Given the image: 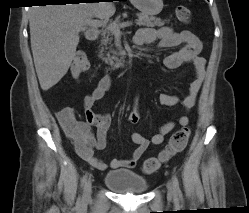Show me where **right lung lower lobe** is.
I'll list each match as a JSON object with an SVG mask.
<instances>
[{
  "label": "right lung lower lobe",
  "mask_w": 249,
  "mask_h": 213,
  "mask_svg": "<svg viewBox=\"0 0 249 213\" xmlns=\"http://www.w3.org/2000/svg\"><path fill=\"white\" fill-rule=\"evenodd\" d=\"M46 2L49 3H55V4H66V3H78L80 0H45ZM109 1H113V0H109Z\"/></svg>",
  "instance_id": "1"
}]
</instances>
